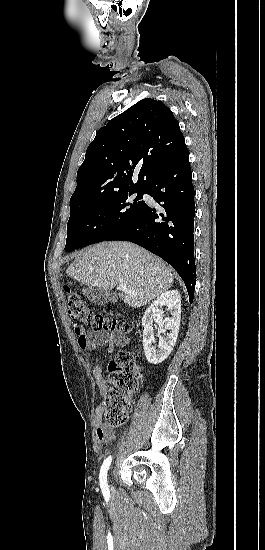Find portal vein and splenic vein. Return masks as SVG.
<instances>
[{
    "mask_svg": "<svg viewBox=\"0 0 265 550\" xmlns=\"http://www.w3.org/2000/svg\"><path fill=\"white\" fill-rule=\"evenodd\" d=\"M118 289H119L120 291H124V292H128V293H133V292L129 291V290L127 289V286L124 285V284H119V285H118Z\"/></svg>",
    "mask_w": 265,
    "mask_h": 550,
    "instance_id": "18ae733b",
    "label": "portal vein and splenic vein"
}]
</instances>
